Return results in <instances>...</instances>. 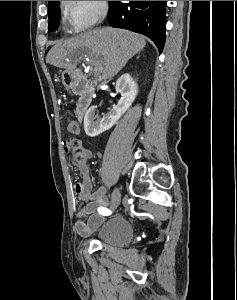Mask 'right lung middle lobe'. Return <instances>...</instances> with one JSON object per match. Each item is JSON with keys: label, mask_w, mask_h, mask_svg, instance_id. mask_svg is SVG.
I'll use <instances>...</instances> for the list:
<instances>
[{"label": "right lung middle lobe", "mask_w": 237, "mask_h": 300, "mask_svg": "<svg viewBox=\"0 0 237 300\" xmlns=\"http://www.w3.org/2000/svg\"><path fill=\"white\" fill-rule=\"evenodd\" d=\"M49 24L48 31L52 32L58 29L60 20L59 1H50L48 3Z\"/></svg>", "instance_id": "1"}]
</instances>
